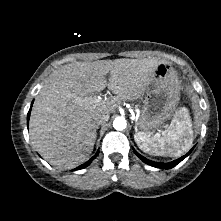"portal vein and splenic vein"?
Segmentation results:
<instances>
[{"label": "portal vein and splenic vein", "mask_w": 221, "mask_h": 221, "mask_svg": "<svg viewBox=\"0 0 221 221\" xmlns=\"http://www.w3.org/2000/svg\"><path fill=\"white\" fill-rule=\"evenodd\" d=\"M99 100H100V98H97V99L95 98V102H99Z\"/></svg>", "instance_id": "18ae733b"}]
</instances>
